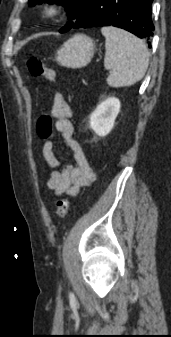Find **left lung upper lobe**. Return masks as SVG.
Segmentation results:
<instances>
[{"mask_svg":"<svg viewBox=\"0 0 171 337\" xmlns=\"http://www.w3.org/2000/svg\"><path fill=\"white\" fill-rule=\"evenodd\" d=\"M37 0H29L30 5H34ZM87 0H39V3L47 2V3H57L61 4L66 7L69 15V19L71 20L68 22L60 32H66L72 28L75 24L77 18L79 17L80 13L82 12L85 3Z\"/></svg>","mask_w":171,"mask_h":337,"instance_id":"left-lung-upper-lobe-1","label":"left lung upper lobe"}]
</instances>
